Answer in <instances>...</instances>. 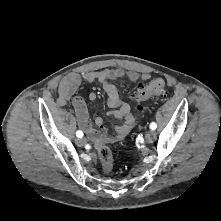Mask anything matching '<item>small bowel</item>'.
Listing matches in <instances>:
<instances>
[{
    "label": "small bowel",
    "mask_w": 221,
    "mask_h": 221,
    "mask_svg": "<svg viewBox=\"0 0 221 221\" xmlns=\"http://www.w3.org/2000/svg\"><path fill=\"white\" fill-rule=\"evenodd\" d=\"M128 78L132 82L139 79L148 80L147 73L138 74L132 70H124L122 68L103 69L99 71H88L83 74L71 73L65 76L58 88L57 102L59 105H65L68 100H72L75 109L79 127L94 141L95 145L113 144L122 141L128 132L137 123L138 117L133 115L130 106L122 101L119 91L116 86L111 83L112 80ZM81 80L90 84L99 83L107 95V106L109 107L108 115L116 120L121 121V124L114 128V133L109 134L108 130L103 125L102 117L98 116L95 119L96 129L93 128L84 100L79 96H74L76 87ZM85 94L90 100H95L96 87L87 85Z\"/></svg>",
    "instance_id": "1"
}]
</instances>
